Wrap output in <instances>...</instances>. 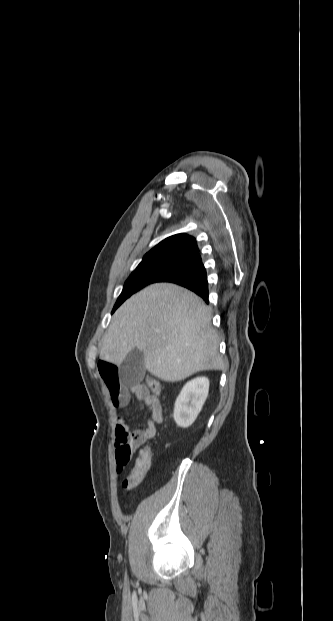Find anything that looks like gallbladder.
<instances>
[{
  "instance_id": "obj_1",
  "label": "gallbladder",
  "mask_w": 333,
  "mask_h": 621,
  "mask_svg": "<svg viewBox=\"0 0 333 621\" xmlns=\"http://www.w3.org/2000/svg\"><path fill=\"white\" fill-rule=\"evenodd\" d=\"M145 375L143 353L135 348L131 350L119 367V378L126 386H133L141 382Z\"/></svg>"
}]
</instances>
